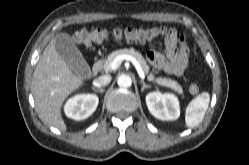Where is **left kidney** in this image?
Wrapping results in <instances>:
<instances>
[{"instance_id": "5707ae66", "label": "left kidney", "mask_w": 249, "mask_h": 165, "mask_svg": "<svg viewBox=\"0 0 249 165\" xmlns=\"http://www.w3.org/2000/svg\"><path fill=\"white\" fill-rule=\"evenodd\" d=\"M146 104L150 113L160 120H176L180 116L178 98L172 93L150 92Z\"/></svg>"}]
</instances>
